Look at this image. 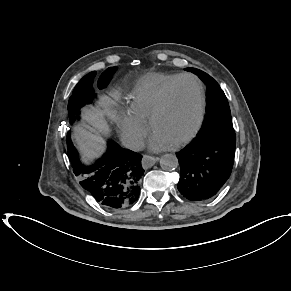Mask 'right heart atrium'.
<instances>
[{
  "instance_id": "obj_1",
  "label": "right heart atrium",
  "mask_w": 291,
  "mask_h": 291,
  "mask_svg": "<svg viewBox=\"0 0 291 291\" xmlns=\"http://www.w3.org/2000/svg\"><path fill=\"white\" fill-rule=\"evenodd\" d=\"M120 133L126 144L132 148H138L148 133V127L130 111H124L121 115Z\"/></svg>"
}]
</instances>
